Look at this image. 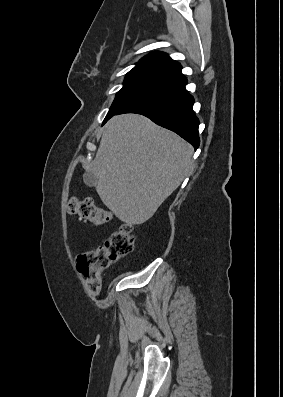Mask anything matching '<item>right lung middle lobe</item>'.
Here are the masks:
<instances>
[{"label":"right lung middle lobe","mask_w":283,"mask_h":397,"mask_svg":"<svg viewBox=\"0 0 283 397\" xmlns=\"http://www.w3.org/2000/svg\"><path fill=\"white\" fill-rule=\"evenodd\" d=\"M170 86L166 81L151 79L144 74H127L124 85L117 92L103 124L132 103Z\"/></svg>","instance_id":"1"}]
</instances>
